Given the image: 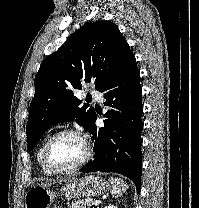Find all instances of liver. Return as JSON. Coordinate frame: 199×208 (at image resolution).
<instances>
[{"label":"liver","instance_id":"1","mask_svg":"<svg viewBox=\"0 0 199 208\" xmlns=\"http://www.w3.org/2000/svg\"><path fill=\"white\" fill-rule=\"evenodd\" d=\"M69 181V180H71V178H68V179H61V180H55V179H47V180H45V184H52V183H60V182H65V181Z\"/></svg>","mask_w":199,"mask_h":208}]
</instances>
